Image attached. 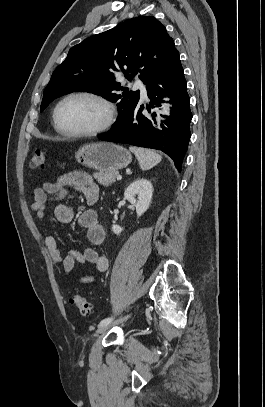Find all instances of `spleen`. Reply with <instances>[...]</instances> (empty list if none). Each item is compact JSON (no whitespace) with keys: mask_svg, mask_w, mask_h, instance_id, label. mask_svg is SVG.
<instances>
[{"mask_svg":"<svg viewBox=\"0 0 265 407\" xmlns=\"http://www.w3.org/2000/svg\"><path fill=\"white\" fill-rule=\"evenodd\" d=\"M129 150L135 154L142 170L151 169L162 159L158 153L150 149L131 146Z\"/></svg>","mask_w":265,"mask_h":407,"instance_id":"3e777b00","label":"spleen"}]
</instances>
